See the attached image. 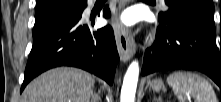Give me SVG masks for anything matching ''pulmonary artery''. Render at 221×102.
Masks as SVG:
<instances>
[{
	"mask_svg": "<svg viewBox=\"0 0 221 102\" xmlns=\"http://www.w3.org/2000/svg\"><path fill=\"white\" fill-rule=\"evenodd\" d=\"M161 1V3H164L165 1L164 0H160Z\"/></svg>",
	"mask_w": 221,
	"mask_h": 102,
	"instance_id": "obj_1",
	"label": "pulmonary artery"
}]
</instances>
